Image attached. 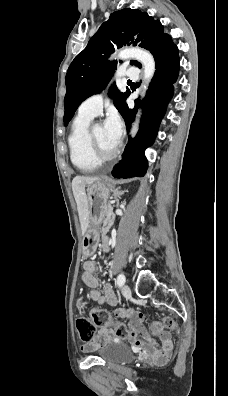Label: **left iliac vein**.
<instances>
[{
    "instance_id": "obj_1",
    "label": "left iliac vein",
    "mask_w": 228,
    "mask_h": 396,
    "mask_svg": "<svg viewBox=\"0 0 228 396\" xmlns=\"http://www.w3.org/2000/svg\"><path fill=\"white\" fill-rule=\"evenodd\" d=\"M122 294H123L125 297H129V296L131 295L130 287H129L127 284L123 285V287H122Z\"/></svg>"
}]
</instances>
